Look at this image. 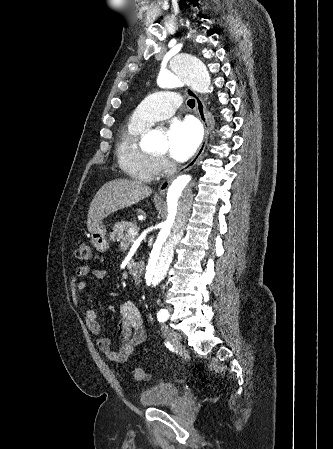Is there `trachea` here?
<instances>
[{"mask_svg": "<svg viewBox=\"0 0 333 449\" xmlns=\"http://www.w3.org/2000/svg\"><path fill=\"white\" fill-rule=\"evenodd\" d=\"M187 104H188V106L190 108H194L195 107V100L194 99H189Z\"/></svg>", "mask_w": 333, "mask_h": 449, "instance_id": "1", "label": "trachea"}]
</instances>
